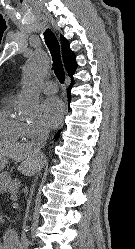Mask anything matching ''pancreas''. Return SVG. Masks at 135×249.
Instances as JSON below:
<instances>
[{"label": "pancreas", "instance_id": "pancreas-1", "mask_svg": "<svg viewBox=\"0 0 135 249\" xmlns=\"http://www.w3.org/2000/svg\"><path fill=\"white\" fill-rule=\"evenodd\" d=\"M20 187V182L19 180H13L10 182L9 186L7 187L8 192L11 194L12 198L17 197V193Z\"/></svg>", "mask_w": 135, "mask_h": 249}]
</instances>
